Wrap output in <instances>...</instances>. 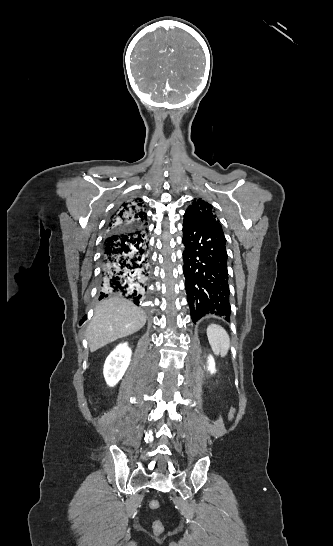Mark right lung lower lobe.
<instances>
[{"label":"right lung lower lobe","mask_w":333,"mask_h":546,"mask_svg":"<svg viewBox=\"0 0 333 546\" xmlns=\"http://www.w3.org/2000/svg\"><path fill=\"white\" fill-rule=\"evenodd\" d=\"M100 297L119 293L139 305L147 292L151 260L144 227L107 232L103 241Z\"/></svg>","instance_id":"1"}]
</instances>
